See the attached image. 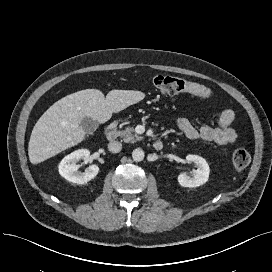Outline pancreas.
Returning <instances> with one entry per match:
<instances>
[{
	"mask_svg": "<svg viewBox=\"0 0 272 272\" xmlns=\"http://www.w3.org/2000/svg\"><path fill=\"white\" fill-rule=\"evenodd\" d=\"M119 136L123 139L125 143H135L142 140L141 136H138L136 133H134V129L132 127H127L124 130L120 131Z\"/></svg>",
	"mask_w": 272,
	"mask_h": 272,
	"instance_id": "cf45deb5",
	"label": "pancreas"
}]
</instances>
